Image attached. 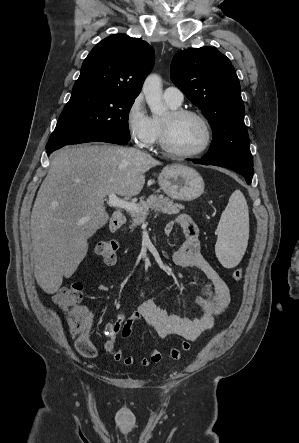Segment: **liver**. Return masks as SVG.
I'll return each instance as SVG.
<instances>
[{"mask_svg":"<svg viewBox=\"0 0 299 443\" xmlns=\"http://www.w3.org/2000/svg\"><path fill=\"white\" fill-rule=\"evenodd\" d=\"M161 163L135 148L111 145L66 147L56 152L31 214L34 275L54 294L76 271L88 239L109 220L104 198H131L145 184V172Z\"/></svg>","mask_w":299,"mask_h":443,"instance_id":"obj_1","label":"liver"}]
</instances>
